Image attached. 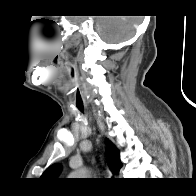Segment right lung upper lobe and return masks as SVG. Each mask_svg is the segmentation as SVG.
<instances>
[{"instance_id":"obj_1","label":"right lung upper lobe","mask_w":196,"mask_h":196,"mask_svg":"<svg viewBox=\"0 0 196 196\" xmlns=\"http://www.w3.org/2000/svg\"><path fill=\"white\" fill-rule=\"evenodd\" d=\"M106 143H107L106 155H107L110 169L113 173L117 174L119 173V170L122 167L119 150L108 139H106ZM61 169H62L61 164H54L46 169V171L43 173L41 178L48 179V180L56 179L57 176L60 174Z\"/></svg>"}]
</instances>
